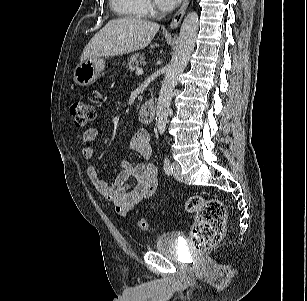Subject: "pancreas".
Instances as JSON below:
<instances>
[{
  "label": "pancreas",
  "mask_w": 307,
  "mask_h": 301,
  "mask_svg": "<svg viewBox=\"0 0 307 301\" xmlns=\"http://www.w3.org/2000/svg\"><path fill=\"white\" fill-rule=\"evenodd\" d=\"M140 64H145V57L141 54H135L128 58L126 67L129 71L136 70Z\"/></svg>",
  "instance_id": "obj_1"
}]
</instances>
